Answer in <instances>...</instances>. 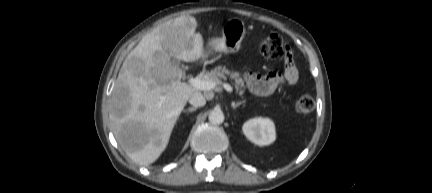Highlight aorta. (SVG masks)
<instances>
[{
  "label": "aorta",
  "mask_w": 432,
  "mask_h": 193,
  "mask_svg": "<svg viewBox=\"0 0 432 193\" xmlns=\"http://www.w3.org/2000/svg\"><path fill=\"white\" fill-rule=\"evenodd\" d=\"M208 119L211 124L219 125L224 121V114L221 110L215 109L210 112Z\"/></svg>",
  "instance_id": "aorta-1"
}]
</instances>
